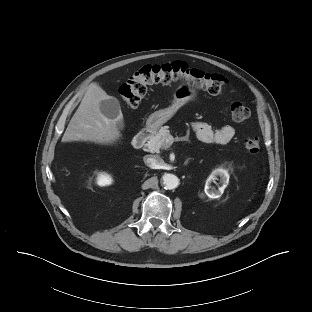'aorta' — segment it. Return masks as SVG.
<instances>
[{
    "instance_id": "obj_1",
    "label": "aorta",
    "mask_w": 312,
    "mask_h": 312,
    "mask_svg": "<svg viewBox=\"0 0 312 312\" xmlns=\"http://www.w3.org/2000/svg\"><path fill=\"white\" fill-rule=\"evenodd\" d=\"M162 180H163V184L165 185V187L169 190L175 189L179 184L178 177L173 174L163 175Z\"/></svg>"
}]
</instances>
